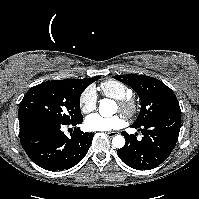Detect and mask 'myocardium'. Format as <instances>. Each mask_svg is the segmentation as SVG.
Wrapping results in <instances>:
<instances>
[{"mask_svg": "<svg viewBox=\"0 0 199 199\" xmlns=\"http://www.w3.org/2000/svg\"><path fill=\"white\" fill-rule=\"evenodd\" d=\"M118 106H119L120 110L128 116H133L136 114L137 102L132 97L118 100Z\"/></svg>", "mask_w": 199, "mask_h": 199, "instance_id": "1", "label": "myocardium"}]
</instances>
